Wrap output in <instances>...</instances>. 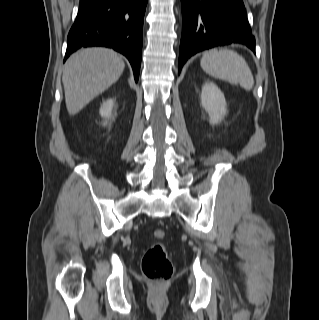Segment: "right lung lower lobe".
Masks as SVG:
<instances>
[{"label": "right lung lower lobe", "mask_w": 319, "mask_h": 320, "mask_svg": "<svg viewBox=\"0 0 319 320\" xmlns=\"http://www.w3.org/2000/svg\"><path fill=\"white\" fill-rule=\"evenodd\" d=\"M148 0H80L67 38L66 60L84 46H106L124 54L138 81L144 13Z\"/></svg>", "instance_id": "1"}]
</instances>
